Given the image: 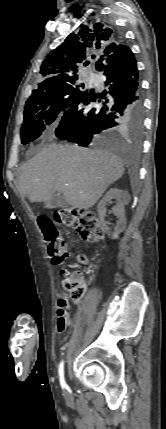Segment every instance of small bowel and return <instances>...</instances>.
Wrapping results in <instances>:
<instances>
[{"label": "small bowel", "instance_id": "1", "mask_svg": "<svg viewBox=\"0 0 166 429\" xmlns=\"http://www.w3.org/2000/svg\"><path fill=\"white\" fill-rule=\"evenodd\" d=\"M62 274H66V270L61 271ZM57 313V331L62 333L71 323L70 304L65 296L59 297L56 304Z\"/></svg>", "mask_w": 166, "mask_h": 429}]
</instances>
